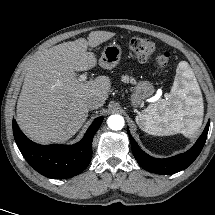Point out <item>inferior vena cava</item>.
I'll return each mask as SVG.
<instances>
[{
    "mask_svg": "<svg viewBox=\"0 0 215 215\" xmlns=\"http://www.w3.org/2000/svg\"><path fill=\"white\" fill-rule=\"evenodd\" d=\"M86 106L89 110L98 109L103 106V101L100 98L92 97L86 101Z\"/></svg>",
    "mask_w": 215,
    "mask_h": 215,
    "instance_id": "obj_1",
    "label": "inferior vena cava"
}]
</instances>
